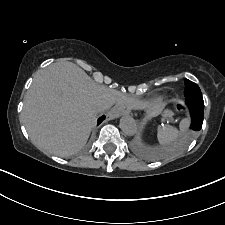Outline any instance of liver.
<instances>
[{"label":"liver","mask_w":225,"mask_h":225,"mask_svg":"<svg viewBox=\"0 0 225 225\" xmlns=\"http://www.w3.org/2000/svg\"><path fill=\"white\" fill-rule=\"evenodd\" d=\"M123 100L138 108L137 101L97 84L77 65L53 63L36 73L25 95L22 122L36 147L69 156L87 143L98 106L109 108Z\"/></svg>","instance_id":"obj_1"}]
</instances>
